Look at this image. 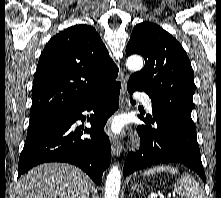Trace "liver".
I'll return each instance as SVG.
<instances>
[{"label":"liver","instance_id":"liver-1","mask_svg":"<svg viewBox=\"0 0 221 198\" xmlns=\"http://www.w3.org/2000/svg\"><path fill=\"white\" fill-rule=\"evenodd\" d=\"M90 178L66 163L39 165L22 176L11 198H89Z\"/></svg>","mask_w":221,"mask_h":198}]
</instances>
